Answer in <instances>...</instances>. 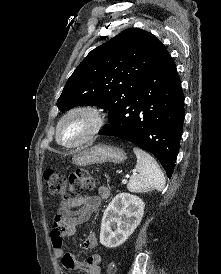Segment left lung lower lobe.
I'll list each match as a JSON object with an SVG mask.
<instances>
[{
	"label": "left lung lower lobe",
	"instance_id": "0a47b994",
	"mask_svg": "<svg viewBox=\"0 0 221 274\" xmlns=\"http://www.w3.org/2000/svg\"><path fill=\"white\" fill-rule=\"evenodd\" d=\"M184 94L168 54L143 80L138 93L109 115L101 135L116 136L152 153L171 178L184 121Z\"/></svg>",
	"mask_w": 221,
	"mask_h": 274
}]
</instances>
